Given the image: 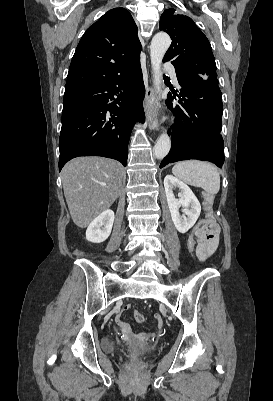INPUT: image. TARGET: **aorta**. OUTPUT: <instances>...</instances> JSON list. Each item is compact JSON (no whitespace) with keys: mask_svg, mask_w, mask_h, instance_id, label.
I'll use <instances>...</instances> for the list:
<instances>
[{"mask_svg":"<svg viewBox=\"0 0 273 401\" xmlns=\"http://www.w3.org/2000/svg\"><path fill=\"white\" fill-rule=\"evenodd\" d=\"M171 44V38L166 33H157L150 45V58L154 74V83L156 90L161 91V64L163 57ZM171 148V140L167 133H162L156 140L154 147V155L161 160L169 153Z\"/></svg>","mask_w":273,"mask_h":401,"instance_id":"obj_1","label":"aorta"}]
</instances>
